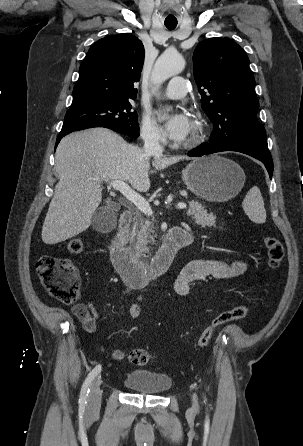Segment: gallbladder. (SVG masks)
<instances>
[{"instance_id":"1","label":"gallbladder","mask_w":303,"mask_h":446,"mask_svg":"<svg viewBox=\"0 0 303 446\" xmlns=\"http://www.w3.org/2000/svg\"><path fill=\"white\" fill-rule=\"evenodd\" d=\"M116 223V218L110 211L106 212L102 208L98 209L92 218V224L97 231H107Z\"/></svg>"}]
</instances>
